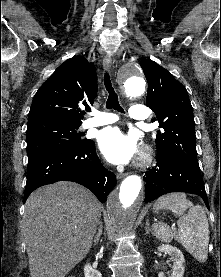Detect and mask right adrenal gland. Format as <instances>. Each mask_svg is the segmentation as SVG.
Instances as JSON below:
<instances>
[{"label":"right adrenal gland","mask_w":221,"mask_h":277,"mask_svg":"<svg viewBox=\"0 0 221 277\" xmlns=\"http://www.w3.org/2000/svg\"><path fill=\"white\" fill-rule=\"evenodd\" d=\"M102 232H103V224H102V222H100L99 228H98V233L94 238V244H97L99 242Z\"/></svg>","instance_id":"obj_1"}]
</instances>
